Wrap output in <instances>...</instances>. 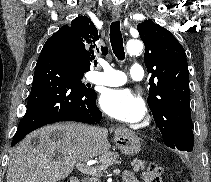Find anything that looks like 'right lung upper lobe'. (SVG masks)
Masks as SVG:
<instances>
[{
	"label": "right lung upper lobe",
	"instance_id": "cb5924a9",
	"mask_svg": "<svg viewBox=\"0 0 211 182\" xmlns=\"http://www.w3.org/2000/svg\"><path fill=\"white\" fill-rule=\"evenodd\" d=\"M55 34H61L71 41L74 59L80 69L89 71L90 65L94 62L93 45L98 39V30L87 16L75 18L70 25H64ZM105 50V48H104ZM107 54L108 49L104 51Z\"/></svg>",
	"mask_w": 211,
	"mask_h": 182
}]
</instances>
